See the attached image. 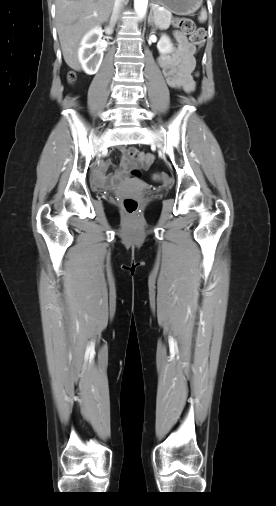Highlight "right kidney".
I'll return each instance as SVG.
<instances>
[{
  "instance_id": "ca27d5eb",
  "label": "right kidney",
  "mask_w": 276,
  "mask_h": 506,
  "mask_svg": "<svg viewBox=\"0 0 276 506\" xmlns=\"http://www.w3.org/2000/svg\"><path fill=\"white\" fill-rule=\"evenodd\" d=\"M105 32L107 34H111L112 28L107 27L105 29ZM102 35V28L99 26L94 27L84 35L80 43V48L78 50V59L82 65L83 70L88 75L97 73L101 65L104 53L100 48L99 43Z\"/></svg>"
}]
</instances>
